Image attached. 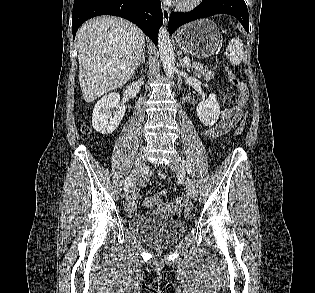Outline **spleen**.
<instances>
[{
  "instance_id": "3e777b00",
  "label": "spleen",
  "mask_w": 315,
  "mask_h": 293,
  "mask_svg": "<svg viewBox=\"0 0 315 293\" xmlns=\"http://www.w3.org/2000/svg\"><path fill=\"white\" fill-rule=\"evenodd\" d=\"M230 53V63L232 65H239L244 56L243 43L239 38H233L227 47Z\"/></svg>"
}]
</instances>
